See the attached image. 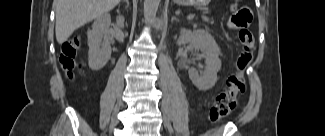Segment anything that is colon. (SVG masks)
Segmentation results:
<instances>
[{
  "mask_svg": "<svg viewBox=\"0 0 325 136\" xmlns=\"http://www.w3.org/2000/svg\"><path fill=\"white\" fill-rule=\"evenodd\" d=\"M233 10L232 23L238 29L242 53L238 59V71L228 78L227 89L218 94L210 109L211 122H218L224 118L235 107L237 97L246 90L244 72L250 64L255 50V39L248 28L252 18L251 13L246 8H237L236 4L233 5ZM77 47V41L67 43L62 47L60 63L69 78H72L73 72L79 67Z\"/></svg>",
  "mask_w": 325,
  "mask_h": 136,
  "instance_id": "5ec220e1",
  "label": "colon"
}]
</instances>
